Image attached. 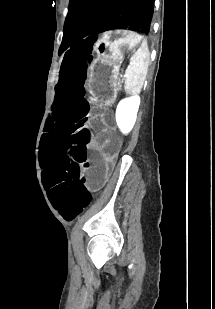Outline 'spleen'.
Listing matches in <instances>:
<instances>
[{
  "label": "spleen",
  "instance_id": "3e777b00",
  "mask_svg": "<svg viewBox=\"0 0 215 309\" xmlns=\"http://www.w3.org/2000/svg\"><path fill=\"white\" fill-rule=\"evenodd\" d=\"M131 64L126 68V92L138 94L146 78L147 68L150 60V52L147 40H143L140 48L130 58Z\"/></svg>",
  "mask_w": 215,
  "mask_h": 309
}]
</instances>
